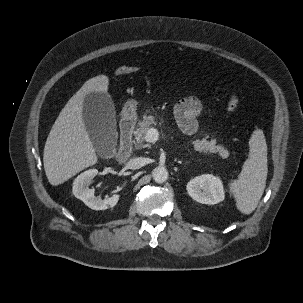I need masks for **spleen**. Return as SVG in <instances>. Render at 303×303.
<instances>
[{
	"instance_id": "1",
	"label": "spleen",
	"mask_w": 303,
	"mask_h": 303,
	"mask_svg": "<svg viewBox=\"0 0 303 303\" xmlns=\"http://www.w3.org/2000/svg\"><path fill=\"white\" fill-rule=\"evenodd\" d=\"M249 147V157L244 162L238 179L229 183L237 209L243 214H250L256 209L266 186L267 144L261 129L253 131Z\"/></svg>"
}]
</instances>
